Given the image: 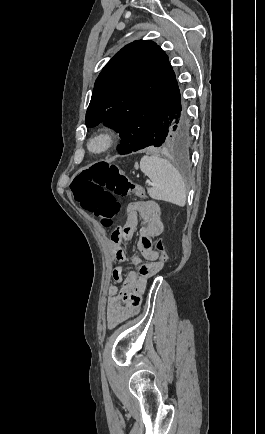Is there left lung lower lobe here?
Listing matches in <instances>:
<instances>
[{
  "instance_id": "left-lung-lower-lobe-1",
  "label": "left lung lower lobe",
  "mask_w": 265,
  "mask_h": 434,
  "mask_svg": "<svg viewBox=\"0 0 265 434\" xmlns=\"http://www.w3.org/2000/svg\"><path fill=\"white\" fill-rule=\"evenodd\" d=\"M192 143L190 127L182 114L180 98L164 113L162 123L125 137L118 145L119 154H129L144 148L155 153L185 154Z\"/></svg>"
}]
</instances>
